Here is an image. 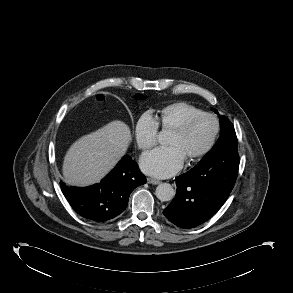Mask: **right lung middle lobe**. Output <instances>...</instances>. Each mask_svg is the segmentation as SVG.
Returning a JSON list of instances; mask_svg holds the SVG:
<instances>
[{
    "mask_svg": "<svg viewBox=\"0 0 293 293\" xmlns=\"http://www.w3.org/2000/svg\"><path fill=\"white\" fill-rule=\"evenodd\" d=\"M141 97H142V96H141L140 94H137V95H136V98H137V99H139V98H141Z\"/></svg>",
    "mask_w": 293,
    "mask_h": 293,
    "instance_id": "obj_1",
    "label": "right lung middle lobe"
}]
</instances>
